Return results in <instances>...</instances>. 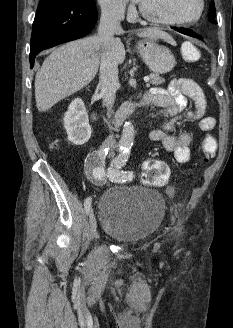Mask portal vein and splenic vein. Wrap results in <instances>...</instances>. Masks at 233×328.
<instances>
[{"mask_svg": "<svg viewBox=\"0 0 233 328\" xmlns=\"http://www.w3.org/2000/svg\"><path fill=\"white\" fill-rule=\"evenodd\" d=\"M144 81H145L146 83H148V82H149V77H144Z\"/></svg>", "mask_w": 233, "mask_h": 328, "instance_id": "18ae733b", "label": "portal vein and splenic vein"}]
</instances>
